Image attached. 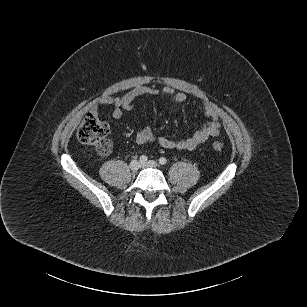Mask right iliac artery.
I'll return each instance as SVG.
<instances>
[{"instance_id":"right-iliac-artery-1","label":"right iliac artery","mask_w":307,"mask_h":307,"mask_svg":"<svg viewBox=\"0 0 307 307\" xmlns=\"http://www.w3.org/2000/svg\"><path fill=\"white\" fill-rule=\"evenodd\" d=\"M139 160H140L141 163H145V162H147L148 158H147V156L142 155V156H140Z\"/></svg>"}]
</instances>
